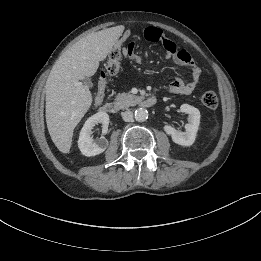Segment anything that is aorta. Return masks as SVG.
I'll return each mask as SVG.
<instances>
[{
    "label": "aorta",
    "mask_w": 261,
    "mask_h": 261,
    "mask_svg": "<svg viewBox=\"0 0 261 261\" xmlns=\"http://www.w3.org/2000/svg\"><path fill=\"white\" fill-rule=\"evenodd\" d=\"M148 119V111L144 108H138L135 111V120L138 122H144Z\"/></svg>",
    "instance_id": "aorta-1"
}]
</instances>
